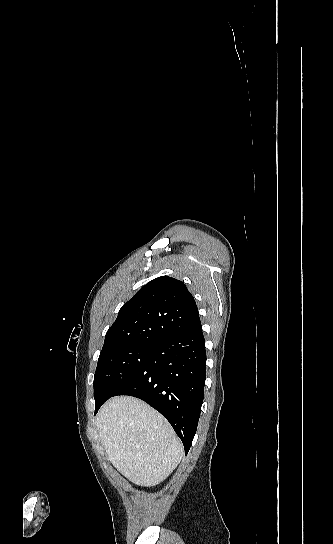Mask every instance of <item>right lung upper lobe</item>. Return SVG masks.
<instances>
[{
	"mask_svg": "<svg viewBox=\"0 0 333 544\" xmlns=\"http://www.w3.org/2000/svg\"><path fill=\"white\" fill-rule=\"evenodd\" d=\"M200 323L198 308L185 284L161 276L144 285L108 329L101 352L113 348L154 343Z\"/></svg>",
	"mask_w": 333,
	"mask_h": 544,
	"instance_id": "obj_1",
	"label": "right lung upper lobe"
}]
</instances>
